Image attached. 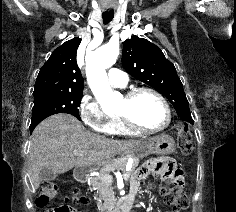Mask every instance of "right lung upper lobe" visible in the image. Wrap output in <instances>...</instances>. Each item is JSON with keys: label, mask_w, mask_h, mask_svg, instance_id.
<instances>
[{"label": "right lung upper lobe", "mask_w": 236, "mask_h": 212, "mask_svg": "<svg viewBox=\"0 0 236 212\" xmlns=\"http://www.w3.org/2000/svg\"><path fill=\"white\" fill-rule=\"evenodd\" d=\"M81 39L75 37L56 48L42 66L34 86V96L44 93L83 92V78L76 62Z\"/></svg>", "instance_id": "cb5924a9"}]
</instances>
